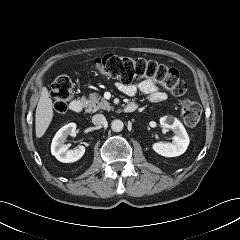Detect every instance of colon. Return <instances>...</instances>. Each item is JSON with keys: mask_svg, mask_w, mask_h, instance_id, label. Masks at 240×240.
<instances>
[{"mask_svg": "<svg viewBox=\"0 0 240 240\" xmlns=\"http://www.w3.org/2000/svg\"><path fill=\"white\" fill-rule=\"evenodd\" d=\"M95 67L103 78L117 79L123 84H130L136 80H152L161 83L175 97H182L187 90L185 81L176 69L154 60L108 54L98 57ZM73 95L74 83L71 78L66 74L58 75L52 85L54 111L64 113ZM181 114L187 125L196 126L201 118V108L197 103L183 99Z\"/></svg>", "mask_w": 240, "mask_h": 240, "instance_id": "5ec220e1", "label": "colon"}]
</instances>
